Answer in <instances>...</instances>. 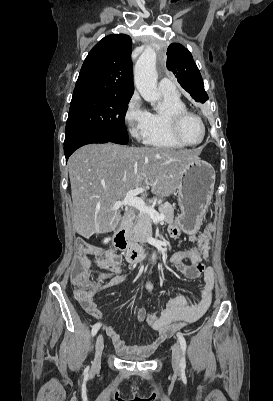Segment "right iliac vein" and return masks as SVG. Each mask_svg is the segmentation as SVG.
I'll return each instance as SVG.
<instances>
[{"instance_id":"63e3f726","label":"right iliac vein","mask_w":273,"mask_h":401,"mask_svg":"<svg viewBox=\"0 0 273 401\" xmlns=\"http://www.w3.org/2000/svg\"><path fill=\"white\" fill-rule=\"evenodd\" d=\"M104 349V338L102 334H99L96 338L95 343V357L92 364V369H96L99 367L101 363V356Z\"/></svg>"}]
</instances>
